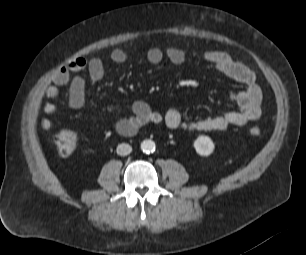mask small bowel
Here are the masks:
<instances>
[{"label": "small bowel", "mask_w": 306, "mask_h": 255, "mask_svg": "<svg viewBox=\"0 0 306 255\" xmlns=\"http://www.w3.org/2000/svg\"><path fill=\"white\" fill-rule=\"evenodd\" d=\"M146 57L154 65L160 64L164 59L177 66L186 61V53L175 46H170L165 50L152 47L148 49ZM110 58L116 64H124L128 56L124 50L116 48L111 51ZM201 58L218 72L245 85L244 89L232 93L230 96L231 101L239 107V110L201 119H188L183 117L180 111L174 107L160 113L152 110L147 103L136 101L132 105V115L117 122V131L122 135H131L149 123H164L171 129L188 131H221L230 126H244L259 119L262 90L256 82L254 71L239 58L224 51H205L201 54ZM83 71H87L93 81L103 79L106 73L101 58H74L53 75L51 84L46 88V96L54 99L59 94V88L67 86L69 106L72 109L82 108L85 104V80L81 75ZM43 110L46 115H51L56 111V106L53 103H47ZM41 126L44 130H49L52 127V121L49 118H44L41 121Z\"/></svg>", "instance_id": "small-bowel-1"}]
</instances>
